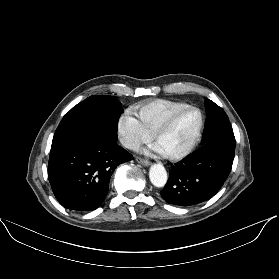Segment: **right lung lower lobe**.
Segmentation results:
<instances>
[{
	"label": "right lung lower lobe",
	"instance_id": "1",
	"mask_svg": "<svg viewBox=\"0 0 279 279\" xmlns=\"http://www.w3.org/2000/svg\"><path fill=\"white\" fill-rule=\"evenodd\" d=\"M117 138V131L105 128L51 146L48 177L61 205L75 211H92L101 205L115 168L133 159L117 145Z\"/></svg>",
	"mask_w": 279,
	"mask_h": 279
}]
</instances>
